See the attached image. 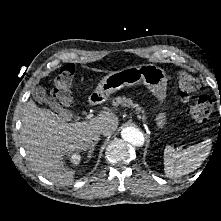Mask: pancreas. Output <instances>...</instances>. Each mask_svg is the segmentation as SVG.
I'll return each mask as SVG.
<instances>
[{"label": "pancreas", "mask_w": 221, "mask_h": 221, "mask_svg": "<svg viewBox=\"0 0 221 221\" xmlns=\"http://www.w3.org/2000/svg\"><path fill=\"white\" fill-rule=\"evenodd\" d=\"M113 105H114V106L122 105V106H124V107H133V108H136L138 112H142V114H143V116L138 115V118L145 119L144 110H141V108L139 107V105H138V104H134L133 101H132L130 98L117 97V98L113 101Z\"/></svg>", "instance_id": "cf45deb5"}]
</instances>
